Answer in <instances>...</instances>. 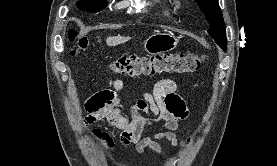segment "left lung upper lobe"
I'll return each mask as SVG.
<instances>
[{"label": "left lung upper lobe", "mask_w": 277, "mask_h": 166, "mask_svg": "<svg viewBox=\"0 0 277 166\" xmlns=\"http://www.w3.org/2000/svg\"><path fill=\"white\" fill-rule=\"evenodd\" d=\"M210 23L209 34L224 50H227L226 29L218 0H195Z\"/></svg>", "instance_id": "5c2ea615"}]
</instances>
